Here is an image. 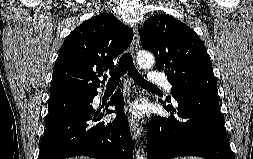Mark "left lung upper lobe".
<instances>
[{"label": "left lung upper lobe", "mask_w": 253, "mask_h": 159, "mask_svg": "<svg viewBox=\"0 0 253 159\" xmlns=\"http://www.w3.org/2000/svg\"><path fill=\"white\" fill-rule=\"evenodd\" d=\"M139 34L142 47L154 54L156 68L167 72L173 97L184 93L217 94L205 45L191 28L160 14L149 18Z\"/></svg>", "instance_id": "5c2ea615"}]
</instances>
